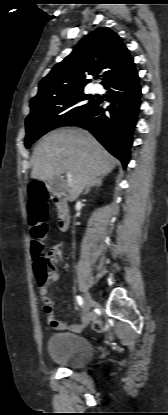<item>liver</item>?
Here are the masks:
<instances>
[{"instance_id": "1", "label": "liver", "mask_w": 168, "mask_h": 415, "mask_svg": "<svg viewBox=\"0 0 168 415\" xmlns=\"http://www.w3.org/2000/svg\"><path fill=\"white\" fill-rule=\"evenodd\" d=\"M33 157V179L47 181L71 173V202L96 178L110 173L118 163L88 131L78 127L51 131L35 147Z\"/></svg>"}]
</instances>
